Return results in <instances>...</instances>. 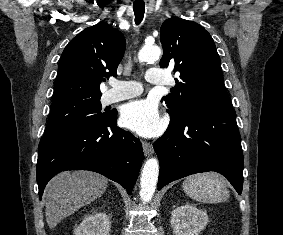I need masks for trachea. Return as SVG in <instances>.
Here are the masks:
<instances>
[{
    "mask_svg": "<svg viewBox=\"0 0 283 235\" xmlns=\"http://www.w3.org/2000/svg\"><path fill=\"white\" fill-rule=\"evenodd\" d=\"M133 10H134V15H135V23L136 25H139L144 17V12H145L144 2H134Z\"/></svg>",
    "mask_w": 283,
    "mask_h": 235,
    "instance_id": "trachea-1",
    "label": "trachea"
}]
</instances>
